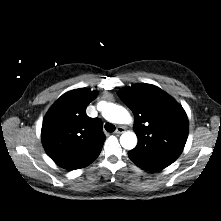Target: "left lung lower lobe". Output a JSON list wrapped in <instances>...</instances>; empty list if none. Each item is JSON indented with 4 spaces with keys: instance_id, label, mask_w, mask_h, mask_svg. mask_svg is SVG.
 Returning <instances> with one entry per match:
<instances>
[{
    "instance_id": "0a47b994",
    "label": "left lung lower lobe",
    "mask_w": 221,
    "mask_h": 221,
    "mask_svg": "<svg viewBox=\"0 0 221 221\" xmlns=\"http://www.w3.org/2000/svg\"><path fill=\"white\" fill-rule=\"evenodd\" d=\"M129 158L146 171H160L173 163L177 158L169 155L142 154L128 152Z\"/></svg>"
}]
</instances>
